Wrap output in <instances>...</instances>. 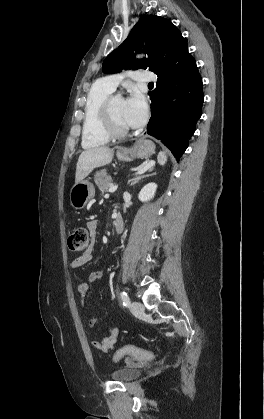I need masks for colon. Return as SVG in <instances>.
Listing matches in <instances>:
<instances>
[{
    "instance_id": "obj_1",
    "label": "colon",
    "mask_w": 264,
    "mask_h": 419,
    "mask_svg": "<svg viewBox=\"0 0 264 419\" xmlns=\"http://www.w3.org/2000/svg\"><path fill=\"white\" fill-rule=\"evenodd\" d=\"M89 232L85 227L76 228L68 238V246L71 251L84 253L88 249ZM154 353L126 345L118 349L113 355V361H119L124 357H130L138 361H147L154 358Z\"/></svg>"
}]
</instances>
